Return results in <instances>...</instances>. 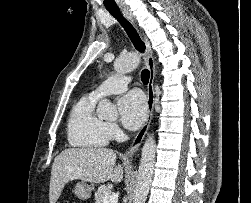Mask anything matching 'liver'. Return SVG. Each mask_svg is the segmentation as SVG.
I'll return each mask as SVG.
<instances>
[{"label":"liver","mask_w":251,"mask_h":203,"mask_svg":"<svg viewBox=\"0 0 251 203\" xmlns=\"http://www.w3.org/2000/svg\"><path fill=\"white\" fill-rule=\"evenodd\" d=\"M116 153L107 148H69L62 151L52 165L49 201L56 203L64 185L71 180L118 183L123 179V168L115 166Z\"/></svg>","instance_id":"6515ba94"}]
</instances>
